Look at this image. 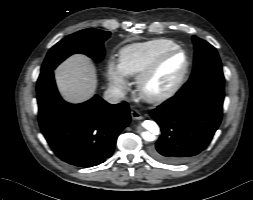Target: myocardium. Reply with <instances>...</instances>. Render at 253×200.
<instances>
[{"instance_id":"1","label":"myocardium","mask_w":253,"mask_h":200,"mask_svg":"<svg viewBox=\"0 0 253 200\" xmlns=\"http://www.w3.org/2000/svg\"><path fill=\"white\" fill-rule=\"evenodd\" d=\"M173 54H182L185 58L184 67L176 80L165 90L158 93H151L147 89V84L155 74L161 63ZM190 69V58L187 52L181 47L168 49L160 53L155 59L137 76V90L139 95L149 103H160L171 98L183 85Z\"/></svg>"}]
</instances>
